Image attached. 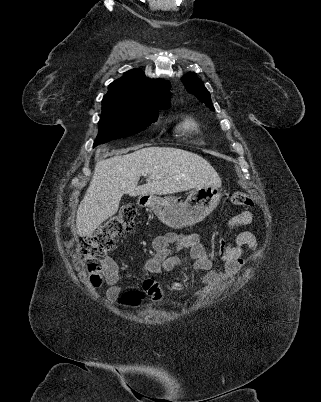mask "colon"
Returning a JSON list of instances; mask_svg holds the SVG:
<instances>
[{"label":"colon","instance_id":"1","mask_svg":"<svg viewBox=\"0 0 321 402\" xmlns=\"http://www.w3.org/2000/svg\"><path fill=\"white\" fill-rule=\"evenodd\" d=\"M230 200L235 206L254 204L252 198L243 192L233 193ZM135 217V208L125 205L117 214L82 239L80 246L82 261L93 287L97 288L103 284L106 275V257L114 249L117 238L132 230ZM141 299L142 295L139 291H129L122 296L121 302L128 307H136Z\"/></svg>","mask_w":321,"mask_h":402}]
</instances>
